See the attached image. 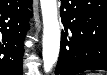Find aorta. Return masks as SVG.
Returning a JSON list of instances; mask_svg holds the SVG:
<instances>
[{"label": "aorta", "mask_w": 107, "mask_h": 75, "mask_svg": "<svg viewBox=\"0 0 107 75\" xmlns=\"http://www.w3.org/2000/svg\"><path fill=\"white\" fill-rule=\"evenodd\" d=\"M43 17V67L50 72L56 63L60 50V25L58 21L57 0H40Z\"/></svg>", "instance_id": "1"}]
</instances>
